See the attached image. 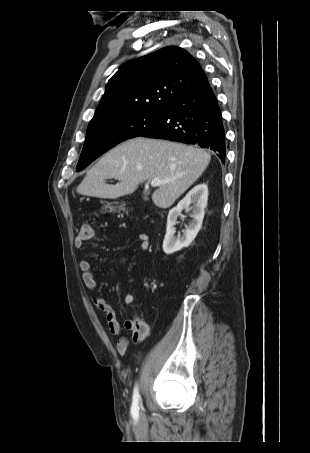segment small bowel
Wrapping results in <instances>:
<instances>
[{
    "label": "small bowel",
    "mask_w": 310,
    "mask_h": 453,
    "mask_svg": "<svg viewBox=\"0 0 310 453\" xmlns=\"http://www.w3.org/2000/svg\"><path fill=\"white\" fill-rule=\"evenodd\" d=\"M140 241V249L146 251L149 248V238L146 233H140L138 235ZM87 238H84L81 234L76 236L74 239V245L76 248H81ZM80 271L82 273V281L86 288L92 292L96 290L97 283L93 274L92 264L89 260H81L79 263ZM93 302L98 311L102 312L105 316V321L109 332L112 335H120L122 326L117 320L116 314L110 304L102 297L94 296ZM124 302L127 305H131L134 302V296L132 293L127 292L124 295ZM123 328L132 331V339L134 342H141L149 335L148 323L136 316L134 319L125 320ZM129 340L127 337L122 336L117 341L116 349L119 355L124 356L127 352Z\"/></svg>",
    "instance_id": "1"
}]
</instances>
